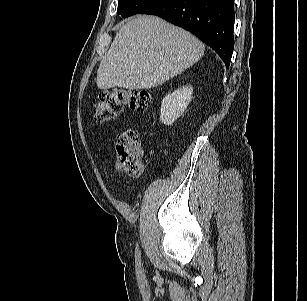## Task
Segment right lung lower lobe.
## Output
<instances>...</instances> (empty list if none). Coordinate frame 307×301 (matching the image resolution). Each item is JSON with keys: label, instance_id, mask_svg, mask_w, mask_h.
<instances>
[{"label": "right lung lower lobe", "instance_id": "1", "mask_svg": "<svg viewBox=\"0 0 307 301\" xmlns=\"http://www.w3.org/2000/svg\"><path fill=\"white\" fill-rule=\"evenodd\" d=\"M141 13L157 15L190 31L229 67L234 49V0H159Z\"/></svg>", "mask_w": 307, "mask_h": 301}]
</instances>
